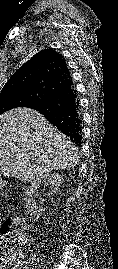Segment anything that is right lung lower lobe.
Here are the masks:
<instances>
[{
  "instance_id": "98d812e1",
  "label": "right lung lower lobe",
  "mask_w": 118,
  "mask_h": 269,
  "mask_svg": "<svg viewBox=\"0 0 118 269\" xmlns=\"http://www.w3.org/2000/svg\"><path fill=\"white\" fill-rule=\"evenodd\" d=\"M28 107L39 111L72 142L80 146L82 116L73 84Z\"/></svg>"
}]
</instances>
